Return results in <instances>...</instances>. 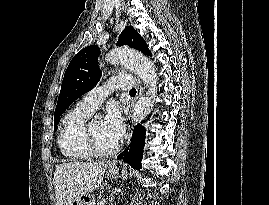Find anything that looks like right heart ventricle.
Here are the masks:
<instances>
[{
    "label": "right heart ventricle",
    "mask_w": 269,
    "mask_h": 205,
    "mask_svg": "<svg viewBox=\"0 0 269 205\" xmlns=\"http://www.w3.org/2000/svg\"><path fill=\"white\" fill-rule=\"evenodd\" d=\"M91 114L77 105L63 117L58 146L67 160L82 161L91 156L83 143V130Z\"/></svg>",
    "instance_id": "obj_1"
}]
</instances>
